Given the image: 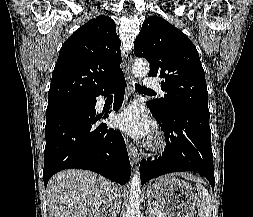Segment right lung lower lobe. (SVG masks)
<instances>
[{
    "label": "right lung lower lobe",
    "instance_id": "98d812e1",
    "mask_svg": "<svg viewBox=\"0 0 253 217\" xmlns=\"http://www.w3.org/2000/svg\"><path fill=\"white\" fill-rule=\"evenodd\" d=\"M125 78L120 75L105 90L82 103L68 104L46 111V146L43 180L68 168L87 169L125 184L131 175L130 161L120 131L98 121L108 112L95 115L96 97L115 91L113 110L123 102Z\"/></svg>",
    "mask_w": 253,
    "mask_h": 217
}]
</instances>
